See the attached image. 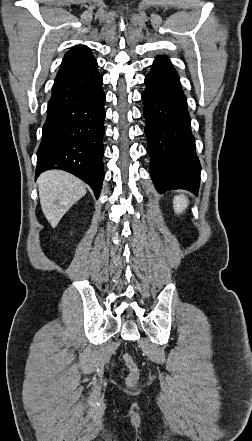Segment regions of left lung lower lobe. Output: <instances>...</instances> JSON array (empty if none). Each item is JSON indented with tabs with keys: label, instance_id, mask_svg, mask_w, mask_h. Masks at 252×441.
<instances>
[{
	"label": "left lung lower lobe",
	"instance_id": "obj_1",
	"mask_svg": "<svg viewBox=\"0 0 252 441\" xmlns=\"http://www.w3.org/2000/svg\"><path fill=\"white\" fill-rule=\"evenodd\" d=\"M142 93L150 172L161 194L186 189L197 194L201 165L195 151L187 99L169 59L157 57Z\"/></svg>",
	"mask_w": 252,
	"mask_h": 441
}]
</instances>
